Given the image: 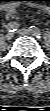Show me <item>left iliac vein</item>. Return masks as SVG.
Here are the masks:
<instances>
[{
	"label": "left iliac vein",
	"mask_w": 50,
	"mask_h": 111,
	"mask_svg": "<svg viewBox=\"0 0 50 111\" xmlns=\"http://www.w3.org/2000/svg\"><path fill=\"white\" fill-rule=\"evenodd\" d=\"M18 34H20V35H31V31L26 29V28H23V29L18 30Z\"/></svg>",
	"instance_id": "4c4485c4"
}]
</instances>
